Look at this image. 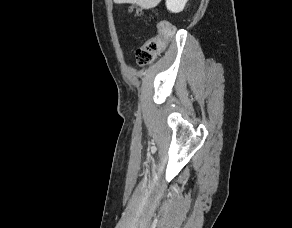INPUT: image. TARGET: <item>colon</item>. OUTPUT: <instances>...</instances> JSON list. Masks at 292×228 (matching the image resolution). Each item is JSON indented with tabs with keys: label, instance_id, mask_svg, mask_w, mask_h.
Returning <instances> with one entry per match:
<instances>
[{
	"label": "colon",
	"instance_id": "1",
	"mask_svg": "<svg viewBox=\"0 0 292 228\" xmlns=\"http://www.w3.org/2000/svg\"><path fill=\"white\" fill-rule=\"evenodd\" d=\"M173 29L168 24H161L156 36L148 39L136 50L137 62L141 66L150 64L163 49L167 41L172 37Z\"/></svg>",
	"mask_w": 292,
	"mask_h": 228
}]
</instances>
